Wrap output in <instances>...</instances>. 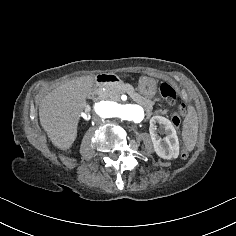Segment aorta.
I'll return each mask as SVG.
<instances>
[{
    "label": "aorta",
    "mask_w": 236,
    "mask_h": 236,
    "mask_svg": "<svg viewBox=\"0 0 236 236\" xmlns=\"http://www.w3.org/2000/svg\"><path fill=\"white\" fill-rule=\"evenodd\" d=\"M94 110L102 118H120L121 120L140 123L145 117L144 109L133 104H118L110 101L95 103Z\"/></svg>",
    "instance_id": "1"
}]
</instances>
